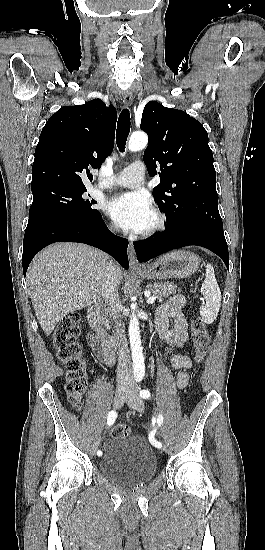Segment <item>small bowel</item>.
Wrapping results in <instances>:
<instances>
[{"instance_id": "c3829d8e", "label": "small bowel", "mask_w": 265, "mask_h": 550, "mask_svg": "<svg viewBox=\"0 0 265 550\" xmlns=\"http://www.w3.org/2000/svg\"><path fill=\"white\" fill-rule=\"evenodd\" d=\"M185 300L181 295H175L161 304L156 310V334L168 346L175 348L184 347L189 339L187 321L182 312ZM174 321L173 327H169V320ZM88 344L105 365H112L115 356L112 350H102L94 345V337L88 336ZM172 366L178 370L176 385L182 389L189 383V369L192 366L191 359L184 353H176L171 359Z\"/></svg>"}]
</instances>
